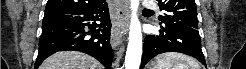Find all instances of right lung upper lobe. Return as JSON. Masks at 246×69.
<instances>
[{
  "mask_svg": "<svg viewBox=\"0 0 246 69\" xmlns=\"http://www.w3.org/2000/svg\"><path fill=\"white\" fill-rule=\"evenodd\" d=\"M105 0H48L45 11L56 8H87L100 6Z\"/></svg>",
  "mask_w": 246,
  "mask_h": 69,
  "instance_id": "cb5924a9",
  "label": "right lung upper lobe"
}]
</instances>
